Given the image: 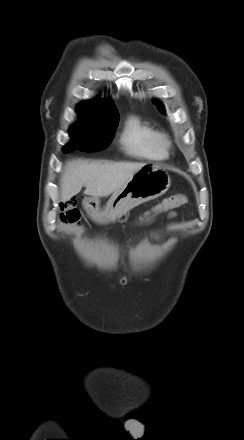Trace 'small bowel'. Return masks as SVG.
I'll list each match as a JSON object with an SVG mask.
<instances>
[{"instance_id": "small-bowel-1", "label": "small bowel", "mask_w": 244, "mask_h": 440, "mask_svg": "<svg viewBox=\"0 0 244 440\" xmlns=\"http://www.w3.org/2000/svg\"><path fill=\"white\" fill-rule=\"evenodd\" d=\"M175 216V212H171L170 214H169V217H174Z\"/></svg>"}]
</instances>
